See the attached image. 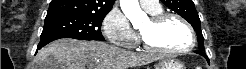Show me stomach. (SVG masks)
Instances as JSON below:
<instances>
[{"mask_svg":"<svg viewBox=\"0 0 246 69\" xmlns=\"http://www.w3.org/2000/svg\"><path fill=\"white\" fill-rule=\"evenodd\" d=\"M155 69H185L184 65L176 59H163Z\"/></svg>","mask_w":246,"mask_h":69,"instance_id":"stomach-1","label":"stomach"}]
</instances>
